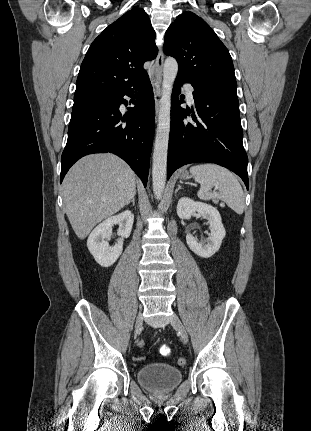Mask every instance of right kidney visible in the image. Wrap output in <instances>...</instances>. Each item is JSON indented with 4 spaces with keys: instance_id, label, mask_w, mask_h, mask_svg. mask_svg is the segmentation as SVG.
<instances>
[{
    "instance_id": "obj_1",
    "label": "right kidney",
    "mask_w": 311,
    "mask_h": 431,
    "mask_svg": "<svg viewBox=\"0 0 311 431\" xmlns=\"http://www.w3.org/2000/svg\"><path fill=\"white\" fill-rule=\"evenodd\" d=\"M133 221L134 214L129 212V210H125V212H121L118 216L107 217L102 223L94 227L87 239V247L99 265L109 267V265H112L118 259L123 251V239L124 237H129ZM114 223H118V235H121V237L117 239L115 245H111L110 247L108 241H105V237L111 235Z\"/></svg>"
}]
</instances>
